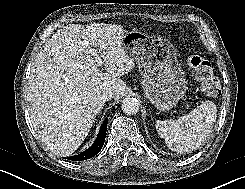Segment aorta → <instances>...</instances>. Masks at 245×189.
Wrapping results in <instances>:
<instances>
[{
	"label": "aorta",
	"mask_w": 245,
	"mask_h": 189,
	"mask_svg": "<svg viewBox=\"0 0 245 189\" xmlns=\"http://www.w3.org/2000/svg\"><path fill=\"white\" fill-rule=\"evenodd\" d=\"M121 108L126 114H135L139 111V102L136 98L126 97L122 101Z\"/></svg>",
	"instance_id": "1"
}]
</instances>
